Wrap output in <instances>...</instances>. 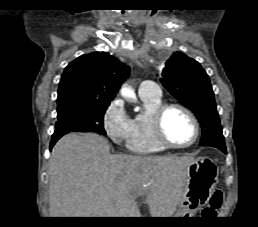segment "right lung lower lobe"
I'll list each match as a JSON object with an SVG mask.
<instances>
[{"label": "right lung lower lobe", "mask_w": 258, "mask_h": 227, "mask_svg": "<svg viewBox=\"0 0 258 227\" xmlns=\"http://www.w3.org/2000/svg\"><path fill=\"white\" fill-rule=\"evenodd\" d=\"M67 134L66 132L62 131H55L54 134L52 135V140H51V145H50V150L54 146V144L60 139L63 135Z\"/></svg>", "instance_id": "1"}]
</instances>
